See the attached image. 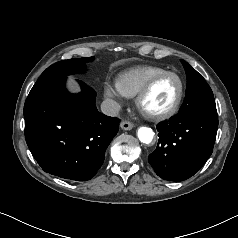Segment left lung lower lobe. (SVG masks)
<instances>
[{"label":"left lung lower lobe","instance_id":"obj_1","mask_svg":"<svg viewBox=\"0 0 238 238\" xmlns=\"http://www.w3.org/2000/svg\"><path fill=\"white\" fill-rule=\"evenodd\" d=\"M218 128L216 109L177 115L157 125L159 141L149 155L156 174L170 181L193 176L210 157Z\"/></svg>","mask_w":238,"mask_h":238}]
</instances>
